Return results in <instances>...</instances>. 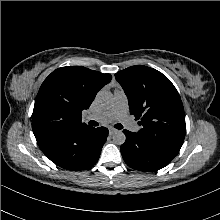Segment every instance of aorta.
<instances>
[{
    "instance_id": "obj_1",
    "label": "aorta",
    "mask_w": 220,
    "mask_h": 220,
    "mask_svg": "<svg viewBox=\"0 0 220 220\" xmlns=\"http://www.w3.org/2000/svg\"><path fill=\"white\" fill-rule=\"evenodd\" d=\"M96 102L102 108H108L113 104V95L108 91H100L96 95ZM113 142L117 145H122L126 136L121 130H117L112 136Z\"/></svg>"
}]
</instances>
